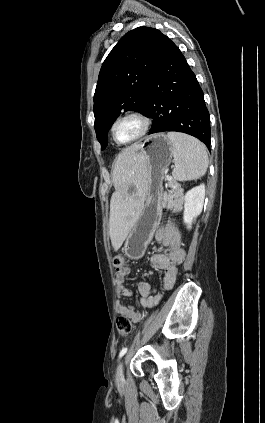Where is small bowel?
<instances>
[{
    "label": "small bowel",
    "instance_id": "c3829d8e",
    "mask_svg": "<svg viewBox=\"0 0 265 423\" xmlns=\"http://www.w3.org/2000/svg\"><path fill=\"white\" fill-rule=\"evenodd\" d=\"M154 240L164 246L166 251L152 255L151 264L154 268L163 271L162 287L164 290H170L176 279L177 265L181 264L185 258L181 237L175 226L169 223L156 230ZM129 274L130 268L125 265L121 268H116L115 281L120 297L132 296V291L124 284L125 278ZM138 293L140 304L146 308L153 307L161 299V294L158 293L157 289L152 288L145 281L138 283ZM115 310L119 315H127L134 324L141 321V314L132 305H126L118 301Z\"/></svg>",
    "mask_w": 265,
    "mask_h": 423
}]
</instances>
